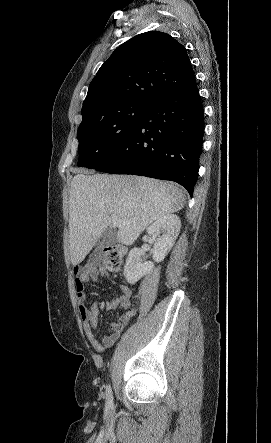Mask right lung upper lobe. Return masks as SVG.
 Instances as JSON below:
<instances>
[{
  "mask_svg": "<svg viewBox=\"0 0 271 443\" xmlns=\"http://www.w3.org/2000/svg\"><path fill=\"white\" fill-rule=\"evenodd\" d=\"M195 81L182 44L159 31L139 34L120 45L98 70L83 102L82 121L124 101L150 103Z\"/></svg>",
  "mask_w": 271,
  "mask_h": 443,
  "instance_id": "1",
  "label": "right lung upper lobe"
}]
</instances>
